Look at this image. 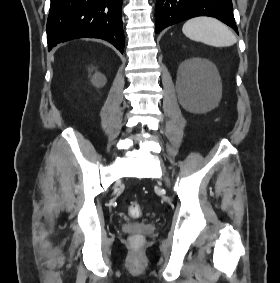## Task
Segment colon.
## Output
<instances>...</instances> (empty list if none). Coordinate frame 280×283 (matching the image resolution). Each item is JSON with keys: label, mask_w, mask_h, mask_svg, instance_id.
I'll use <instances>...</instances> for the list:
<instances>
[{"label": "colon", "mask_w": 280, "mask_h": 283, "mask_svg": "<svg viewBox=\"0 0 280 283\" xmlns=\"http://www.w3.org/2000/svg\"><path fill=\"white\" fill-rule=\"evenodd\" d=\"M128 214L130 217L132 218H137L140 216L141 214V208L138 204H132L129 208H128Z\"/></svg>", "instance_id": "obj_1"}]
</instances>
